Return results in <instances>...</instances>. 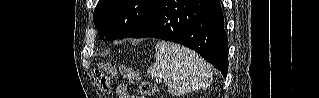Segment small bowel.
Returning a JSON list of instances; mask_svg holds the SVG:
<instances>
[{"instance_id": "c3829d8e", "label": "small bowel", "mask_w": 319, "mask_h": 98, "mask_svg": "<svg viewBox=\"0 0 319 98\" xmlns=\"http://www.w3.org/2000/svg\"><path fill=\"white\" fill-rule=\"evenodd\" d=\"M117 91L121 98H130V96L127 94V88L125 85L118 86Z\"/></svg>"}]
</instances>
